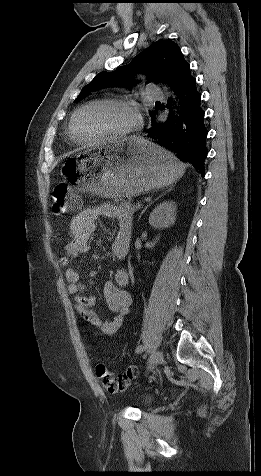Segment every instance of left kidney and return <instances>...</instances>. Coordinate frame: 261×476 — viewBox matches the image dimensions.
Here are the masks:
<instances>
[{
	"instance_id": "obj_1",
	"label": "left kidney",
	"mask_w": 261,
	"mask_h": 476,
	"mask_svg": "<svg viewBox=\"0 0 261 476\" xmlns=\"http://www.w3.org/2000/svg\"><path fill=\"white\" fill-rule=\"evenodd\" d=\"M177 205L173 201H163L149 216V224L155 228H168L176 220Z\"/></svg>"
}]
</instances>
